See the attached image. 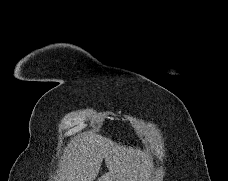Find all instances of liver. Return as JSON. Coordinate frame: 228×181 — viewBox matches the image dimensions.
<instances>
[{
    "mask_svg": "<svg viewBox=\"0 0 228 181\" xmlns=\"http://www.w3.org/2000/svg\"><path fill=\"white\" fill-rule=\"evenodd\" d=\"M66 161L57 181H96L104 159L108 173L99 181H150L153 161L150 153L113 143L97 133H81L65 151Z\"/></svg>",
    "mask_w": 228,
    "mask_h": 181,
    "instance_id": "6515ba94",
    "label": "liver"
}]
</instances>
